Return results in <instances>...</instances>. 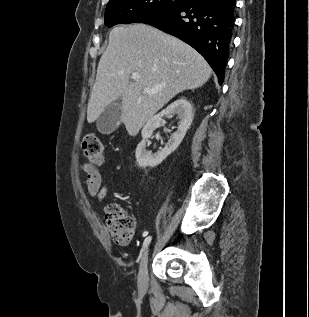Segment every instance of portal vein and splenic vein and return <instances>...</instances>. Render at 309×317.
<instances>
[{"label": "portal vein and splenic vein", "instance_id": "obj_1", "mask_svg": "<svg viewBox=\"0 0 309 317\" xmlns=\"http://www.w3.org/2000/svg\"><path fill=\"white\" fill-rule=\"evenodd\" d=\"M131 77L133 80H138L140 78V75L138 73H133ZM160 89L161 88H155V89L144 88V91L148 93H157Z\"/></svg>", "mask_w": 309, "mask_h": 317}]
</instances>
